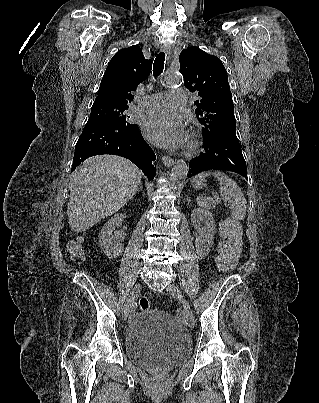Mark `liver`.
<instances>
[{
    "instance_id": "6515ba94",
    "label": "liver",
    "mask_w": 319,
    "mask_h": 403,
    "mask_svg": "<svg viewBox=\"0 0 319 403\" xmlns=\"http://www.w3.org/2000/svg\"><path fill=\"white\" fill-rule=\"evenodd\" d=\"M141 177V170L125 158L102 155L87 159L70 180V229L86 231L116 213L133 197Z\"/></svg>"
}]
</instances>
